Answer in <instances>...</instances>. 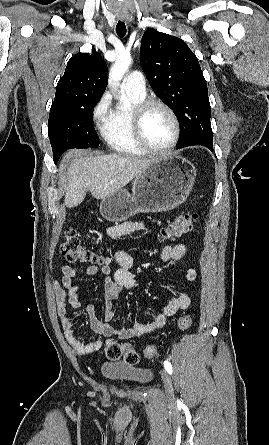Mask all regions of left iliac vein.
<instances>
[{"instance_id":"left-iliac-vein-1","label":"left iliac vein","mask_w":269,"mask_h":445,"mask_svg":"<svg viewBox=\"0 0 269 445\" xmlns=\"http://www.w3.org/2000/svg\"><path fill=\"white\" fill-rule=\"evenodd\" d=\"M162 380L164 383V388H165V393H166L167 398H169V399L173 398L172 381H171V377L167 371L162 372Z\"/></svg>"}]
</instances>
